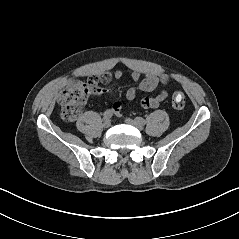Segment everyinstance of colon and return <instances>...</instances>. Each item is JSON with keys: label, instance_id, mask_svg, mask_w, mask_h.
<instances>
[{"label": "colon", "instance_id": "5ec220e1", "mask_svg": "<svg viewBox=\"0 0 239 239\" xmlns=\"http://www.w3.org/2000/svg\"><path fill=\"white\" fill-rule=\"evenodd\" d=\"M98 83L95 77H90L87 82L74 79L62 91L58 98L61 108V117L66 121L75 120L81 113L83 106L91 93V89ZM172 106L176 110H182L185 106V96L175 90L172 95Z\"/></svg>", "mask_w": 239, "mask_h": 239}]
</instances>
